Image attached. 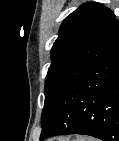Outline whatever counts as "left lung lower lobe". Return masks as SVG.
Wrapping results in <instances>:
<instances>
[{
    "instance_id": "left-lung-lower-lobe-1",
    "label": "left lung lower lobe",
    "mask_w": 119,
    "mask_h": 141,
    "mask_svg": "<svg viewBox=\"0 0 119 141\" xmlns=\"http://www.w3.org/2000/svg\"><path fill=\"white\" fill-rule=\"evenodd\" d=\"M40 139L84 134L119 141V22L83 72L45 105Z\"/></svg>"
}]
</instances>
